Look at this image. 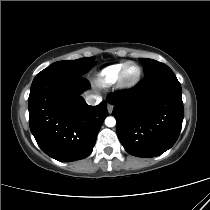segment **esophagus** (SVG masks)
Returning a JSON list of instances; mask_svg holds the SVG:
<instances>
[{"mask_svg":"<svg viewBox=\"0 0 210 210\" xmlns=\"http://www.w3.org/2000/svg\"><path fill=\"white\" fill-rule=\"evenodd\" d=\"M107 109H108V112L111 114V113H112V111H113V105H112V104H110V103H108V105H107Z\"/></svg>","mask_w":210,"mask_h":210,"instance_id":"esophagus-1","label":"esophagus"}]
</instances>
